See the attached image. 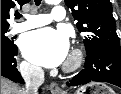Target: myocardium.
I'll return each instance as SVG.
<instances>
[{"label":"myocardium","mask_w":121,"mask_h":94,"mask_svg":"<svg viewBox=\"0 0 121 94\" xmlns=\"http://www.w3.org/2000/svg\"><path fill=\"white\" fill-rule=\"evenodd\" d=\"M82 64V53L75 49L70 54L67 62L64 65V71L66 72H73L77 70Z\"/></svg>","instance_id":"f54148a6"}]
</instances>
